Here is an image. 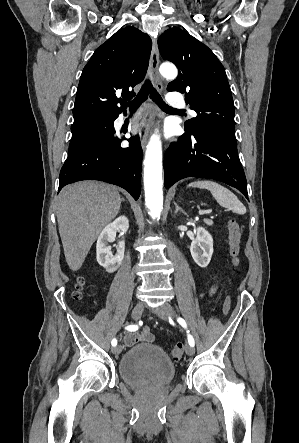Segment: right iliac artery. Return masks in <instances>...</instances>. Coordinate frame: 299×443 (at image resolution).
Wrapping results in <instances>:
<instances>
[{
  "instance_id": "1",
  "label": "right iliac artery",
  "mask_w": 299,
  "mask_h": 443,
  "mask_svg": "<svg viewBox=\"0 0 299 443\" xmlns=\"http://www.w3.org/2000/svg\"><path fill=\"white\" fill-rule=\"evenodd\" d=\"M128 331H136L138 329V325H128L125 327ZM112 346L115 347L117 345V340L114 338L111 342Z\"/></svg>"
}]
</instances>
